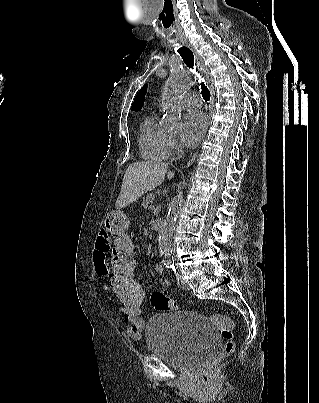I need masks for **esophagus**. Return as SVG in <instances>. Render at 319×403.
Wrapping results in <instances>:
<instances>
[{
  "mask_svg": "<svg viewBox=\"0 0 319 403\" xmlns=\"http://www.w3.org/2000/svg\"><path fill=\"white\" fill-rule=\"evenodd\" d=\"M186 46L192 51V53L194 54L195 57V65L196 68L198 69V71L202 74V76L205 78L207 85L209 87L210 90V106L212 108L213 104H214V100H215V88H214V80L213 77L210 74L209 69L207 68V66L204 64L202 58L200 57V55L198 54V52L196 51V49L191 45L186 43ZM210 108V110H211ZM198 152H196L192 158L189 160V162L187 163V167L191 166L192 163L194 162L196 156H197Z\"/></svg>",
  "mask_w": 319,
  "mask_h": 403,
  "instance_id": "34e87169",
  "label": "esophagus"
}]
</instances>
